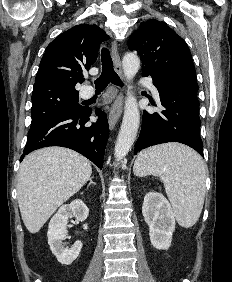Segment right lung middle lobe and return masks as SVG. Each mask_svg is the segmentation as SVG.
<instances>
[{"label": "right lung middle lobe", "instance_id": "right-lung-middle-lobe-1", "mask_svg": "<svg viewBox=\"0 0 232 282\" xmlns=\"http://www.w3.org/2000/svg\"><path fill=\"white\" fill-rule=\"evenodd\" d=\"M78 92L50 89L32 93L31 127L64 112H78Z\"/></svg>", "mask_w": 232, "mask_h": 282}]
</instances>
